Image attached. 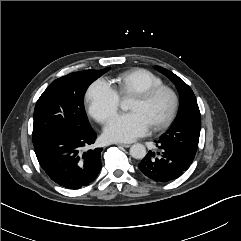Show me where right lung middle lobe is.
I'll return each mask as SVG.
<instances>
[{
    "mask_svg": "<svg viewBox=\"0 0 241 241\" xmlns=\"http://www.w3.org/2000/svg\"><path fill=\"white\" fill-rule=\"evenodd\" d=\"M108 70H85L53 81L35 106L33 145L57 133L90 129L83 97L88 86Z\"/></svg>",
    "mask_w": 241,
    "mask_h": 241,
    "instance_id": "dd1d6c3e",
    "label": "right lung middle lobe"
}]
</instances>
